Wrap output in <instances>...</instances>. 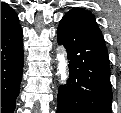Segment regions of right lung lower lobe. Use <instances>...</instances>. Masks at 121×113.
Listing matches in <instances>:
<instances>
[{
    "instance_id": "obj_1",
    "label": "right lung lower lobe",
    "mask_w": 121,
    "mask_h": 113,
    "mask_svg": "<svg viewBox=\"0 0 121 113\" xmlns=\"http://www.w3.org/2000/svg\"><path fill=\"white\" fill-rule=\"evenodd\" d=\"M23 68L20 25L1 35V113H13Z\"/></svg>"
}]
</instances>
